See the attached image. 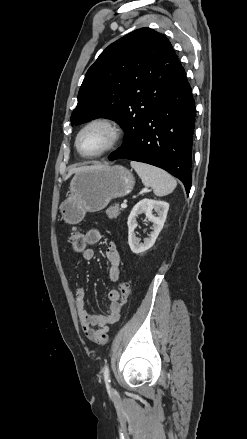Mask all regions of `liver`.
Here are the masks:
<instances>
[{"label": "liver", "mask_w": 247, "mask_h": 439, "mask_svg": "<svg viewBox=\"0 0 247 439\" xmlns=\"http://www.w3.org/2000/svg\"><path fill=\"white\" fill-rule=\"evenodd\" d=\"M103 167L102 165L98 164V165H91V166H83V167H78V168H72L69 170L66 179H68L72 174H78L81 172H85V171H89V170H93L96 168H100Z\"/></svg>", "instance_id": "6515ba94"}]
</instances>
